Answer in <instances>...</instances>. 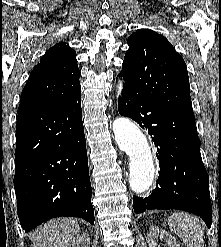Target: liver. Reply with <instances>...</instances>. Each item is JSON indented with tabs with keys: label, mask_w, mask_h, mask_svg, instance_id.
Segmentation results:
<instances>
[{
	"label": "liver",
	"mask_w": 221,
	"mask_h": 247,
	"mask_svg": "<svg viewBox=\"0 0 221 247\" xmlns=\"http://www.w3.org/2000/svg\"><path fill=\"white\" fill-rule=\"evenodd\" d=\"M77 220L54 219L43 224L30 237L33 247H63L79 233Z\"/></svg>",
	"instance_id": "6515ba94"
}]
</instances>
